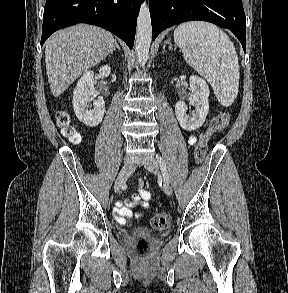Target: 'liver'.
Instances as JSON below:
<instances>
[{"label": "liver", "mask_w": 288, "mask_h": 293, "mask_svg": "<svg viewBox=\"0 0 288 293\" xmlns=\"http://www.w3.org/2000/svg\"><path fill=\"white\" fill-rule=\"evenodd\" d=\"M108 31L77 24L55 32L45 43V63L52 94L60 96L82 73L103 61L115 47Z\"/></svg>", "instance_id": "obj_1"}]
</instances>
